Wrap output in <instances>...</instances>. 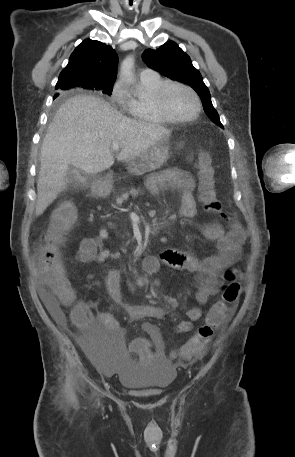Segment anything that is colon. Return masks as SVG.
Here are the masks:
<instances>
[{
	"label": "colon",
	"instance_id": "colon-1",
	"mask_svg": "<svg viewBox=\"0 0 295 457\" xmlns=\"http://www.w3.org/2000/svg\"><path fill=\"white\" fill-rule=\"evenodd\" d=\"M197 166L199 171V199L204 209L224 218L215 191L214 169L206 152H201L198 155ZM75 219V207L70 203L61 204L51 216L50 228L45 235L40 252V267L48 280L49 287L56 298L67 306L75 303L76 292L65 276L59 245L63 232L71 227ZM225 280L227 284L223 288L221 299L211 306L205 323L199 327L194 336L183 344L178 352H171L170 356L173 360L180 357L183 361H188L204 352L213 337L214 331L228 319L232 312V306L239 297L240 287L237 282V273L234 270L225 272ZM137 338L140 340L142 337L139 335ZM128 349L130 354L134 355V361L139 362L140 366H149L150 361L154 359L149 341H129Z\"/></svg>",
	"mask_w": 295,
	"mask_h": 457
}]
</instances>
